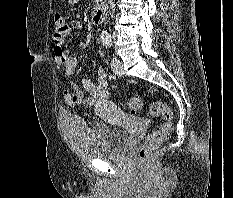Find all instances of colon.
Wrapping results in <instances>:
<instances>
[{
	"instance_id": "5ec220e1",
	"label": "colon",
	"mask_w": 233,
	"mask_h": 198,
	"mask_svg": "<svg viewBox=\"0 0 233 198\" xmlns=\"http://www.w3.org/2000/svg\"><path fill=\"white\" fill-rule=\"evenodd\" d=\"M65 19L58 13L54 17V31H61L65 26ZM128 109L131 113H137L142 108V101L138 97L129 99ZM150 112L153 116H162L164 122L162 125L152 131L139 146L137 150V157L139 161L145 162L149 153L158 147L166 137L173 131L174 127V113L172 109L164 102H155L151 105Z\"/></svg>"
}]
</instances>
